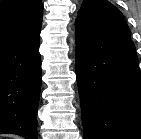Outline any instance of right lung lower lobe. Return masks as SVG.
Here are the masks:
<instances>
[{"mask_svg": "<svg viewBox=\"0 0 141 139\" xmlns=\"http://www.w3.org/2000/svg\"><path fill=\"white\" fill-rule=\"evenodd\" d=\"M40 35L0 48V134L38 139L37 109L41 89Z\"/></svg>", "mask_w": 141, "mask_h": 139, "instance_id": "98d812e1", "label": "right lung lower lobe"}]
</instances>
